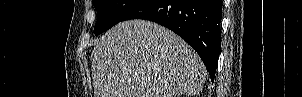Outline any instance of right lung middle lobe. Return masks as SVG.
Wrapping results in <instances>:
<instances>
[{
    "label": "right lung middle lobe",
    "instance_id": "obj_1",
    "mask_svg": "<svg viewBox=\"0 0 302 97\" xmlns=\"http://www.w3.org/2000/svg\"><path fill=\"white\" fill-rule=\"evenodd\" d=\"M140 1L141 0H92L98 14L94 33L96 35L100 34L122 21L125 14Z\"/></svg>",
    "mask_w": 302,
    "mask_h": 97
}]
</instances>
